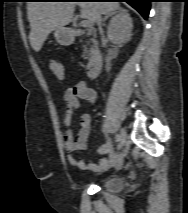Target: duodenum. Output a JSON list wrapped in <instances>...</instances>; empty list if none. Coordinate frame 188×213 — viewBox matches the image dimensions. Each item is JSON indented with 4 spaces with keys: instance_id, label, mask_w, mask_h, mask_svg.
<instances>
[{
    "instance_id": "duodenum-1",
    "label": "duodenum",
    "mask_w": 188,
    "mask_h": 213,
    "mask_svg": "<svg viewBox=\"0 0 188 213\" xmlns=\"http://www.w3.org/2000/svg\"><path fill=\"white\" fill-rule=\"evenodd\" d=\"M91 39L95 41V38L93 36H91ZM102 66H103V57L98 50H95L92 53L87 65V75L90 78H96L97 76H99L102 70Z\"/></svg>"
}]
</instances>
